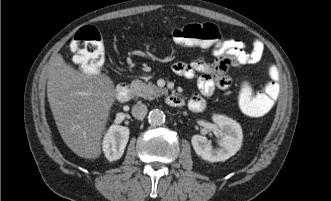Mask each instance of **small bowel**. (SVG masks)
Listing matches in <instances>:
<instances>
[{"label": "small bowel", "instance_id": "c3829d8e", "mask_svg": "<svg viewBox=\"0 0 331 201\" xmlns=\"http://www.w3.org/2000/svg\"><path fill=\"white\" fill-rule=\"evenodd\" d=\"M264 45L260 40H254L248 51L243 41L228 39L221 46L213 48V62L205 61L203 57L185 62L177 61L173 71L184 78L196 79L198 92L188 100V107L193 112H201L206 106V97L214 92L227 90L232 85V79L226 74L230 66L251 65L260 61Z\"/></svg>", "mask_w": 331, "mask_h": 201}]
</instances>
